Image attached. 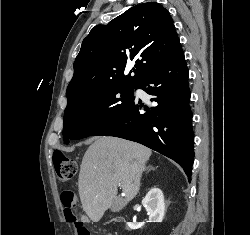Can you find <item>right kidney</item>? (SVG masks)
Returning a JSON list of instances; mask_svg holds the SVG:
<instances>
[{
  "instance_id": "right-kidney-1",
  "label": "right kidney",
  "mask_w": 250,
  "mask_h": 235,
  "mask_svg": "<svg viewBox=\"0 0 250 235\" xmlns=\"http://www.w3.org/2000/svg\"><path fill=\"white\" fill-rule=\"evenodd\" d=\"M150 222H162L165 214V203L163 192L159 188H152L142 200ZM132 230L142 227V223L128 222Z\"/></svg>"
}]
</instances>
